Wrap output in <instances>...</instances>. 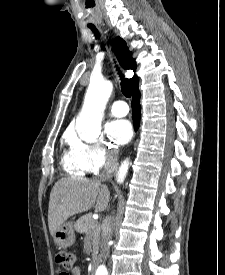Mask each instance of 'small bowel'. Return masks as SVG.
Returning <instances> with one entry per match:
<instances>
[{
    "label": "small bowel",
    "mask_w": 225,
    "mask_h": 275,
    "mask_svg": "<svg viewBox=\"0 0 225 275\" xmlns=\"http://www.w3.org/2000/svg\"><path fill=\"white\" fill-rule=\"evenodd\" d=\"M68 275H81V271L79 267H73Z\"/></svg>",
    "instance_id": "small-bowel-1"
}]
</instances>
